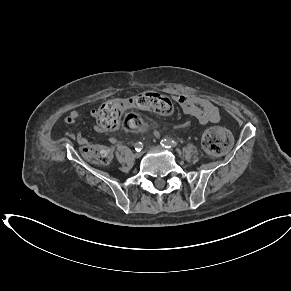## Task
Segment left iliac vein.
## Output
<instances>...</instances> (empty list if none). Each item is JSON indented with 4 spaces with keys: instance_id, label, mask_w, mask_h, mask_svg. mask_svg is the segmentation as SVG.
Here are the masks:
<instances>
[{
    "instance_id": "4c4485c4",
    "label": "left iliac vein",
    "mask_w": 291,
    "mask_h": 291,
    "mask_svg": "<svg viewBox=\"0 0 291 291\" xmlns=\"http://www.w3.org/2000/svg\"><path fill=\"white\" fill-rule=\"evenodd\" d=\"M151 150L163 151V150H166V149L164 147H162V146H156V147H152Z\"/></svg>"
}]
</instances>
